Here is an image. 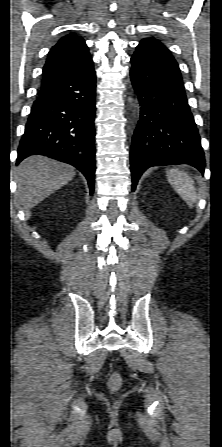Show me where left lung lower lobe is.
<instances>
[{
	"label": "left lung lower lobe",
	"instance_id": "left-lung-lower-lobe-1",
	"mask_svg": "<svg viewBox=\"0 0 222 447\" xmlns=\"http://www.w3.org/2000/svg\"><path fill=\"white\" fill-rule=\"evenodd\" d=\"M131 63L141 106L131 147L132 191L152 166L190 164L203 173L204 153L174 57L160 41L143 39Z\"/></svg>",
	"mask_w": 222,
	"mask_h": 447
}]
</instances>
